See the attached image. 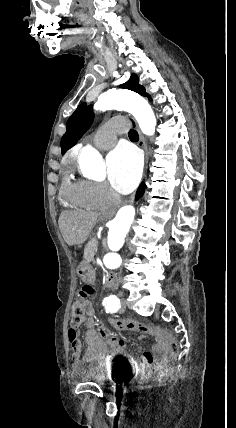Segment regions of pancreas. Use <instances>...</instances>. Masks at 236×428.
Listing matches in <instances>:
<instances>
[{"mask_svg":"<svg viewBox=\"0 0 236 428\" xmlns=\"http://www.w3.org/2000/svg\"><path fill=\"white\" fill-rule=\"evenodd\" d=\"M97 246H98V242L96 240V238H92V240H90V242H88L85 250H84V260H86V262H94V256H95V252L97 250Z\"/></svg>","mask_w":236,"mask_h":428,"instance_id":"obj_1","label":"pancreas"}]
</instances>
